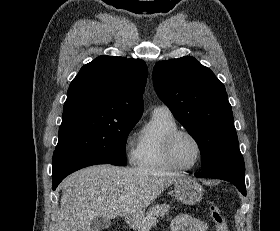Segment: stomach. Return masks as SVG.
Masks as SVG:
<instances>
[{"label": "stomach", "mask_w": 280, "mask_h": 231, "mask_svg": "<svg viewBox=\"0 0 280 231\" xmlns=\"http://www.w3.org/2000/svg\"><path fill=\"white\" fill-rule=\"evenodd\" d=\"M173 185L176 199L181 201V203H187V205L199 203L204 195L202 185H200L196 179H193V177H187V175L178 177ZM131 225H137V221L134 217H132Z\"/></svg>", "instance_id": "obj_1"}]
</instances>
